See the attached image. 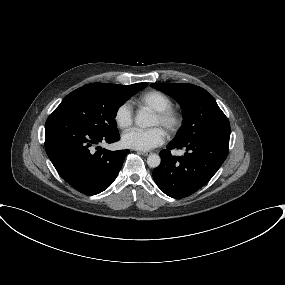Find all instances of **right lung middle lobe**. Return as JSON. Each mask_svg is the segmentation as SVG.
Instances as JSON below:
<instances>
[{
    "label": "right lung middle lobe",
    "instance_id": "right-lung-middle-lobe-1",
    "mask_svg": "<svg viewBox=\"0 0 285 285\" xmlns=\"http://www.w3.org/2000/svg\"><path fill=\"white\" fill-rule=\"evenodd\" d=\"M147 85L87 84L68 94L52 115L74 120L95 133H117L115 117L119 107Z\"/></svg>",
    "mask_w": 285,
    "mask_h": 285
}]
</instances>
